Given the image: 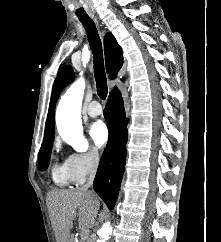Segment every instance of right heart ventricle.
<instances>
[{"instance_id":"e07e8e85","label":"right heart ventricle","mask_w":221,"mask_h":242,"mask_svg":"<svg viewBox=\"0 0 221 242\" xmlns=\"http://www.w3.org/2000/svg\"><path fill=\"white\" fill-rule=\"evenodd\" d=\"M52 179L58 185H65L68 181H71L68 174L65 163H55L52 167Z\"/></svg>"}]
</instances>
